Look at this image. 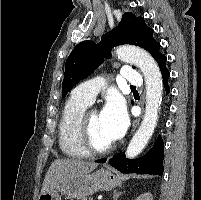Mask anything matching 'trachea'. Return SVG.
I'll use <instances>...</instances> for the list:
<instances>
[{
    "label": "trachea",
    "instance_id": "3493384b",
    "mask_svg": "<svg viewBox=\"0 0 201 200\" xmlns=\"http://www.w3.org/2000/svg\"><path fill=\"white\" fill-rule=\"evenodd\" d=\"M130 88L136 89V87H135V86H130Z\"/></svg>",
    "mask_w": 201,
    "mask_h": 200
}]
</instances>
